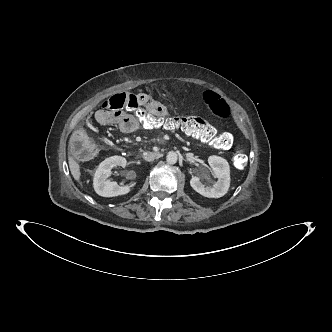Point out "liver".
Returning a JSON list of instances; mask_svg holds the SVG:
<instances>
[{"label":"liver","mask_w":332,"mask_h":332,"mask_svg":"<svg viewBox=\"0 0 332 332\" xmlns=\"http://www.w3.org/2000/svg\"><path fill=\"white\" fill-rule=\"evenodd\" d=\"M68 163L72 176L74 177L75 180L78 181L81 176L80 165L71 156H69Z\"/></svg>","instance_id":"1"}]
</instances>
